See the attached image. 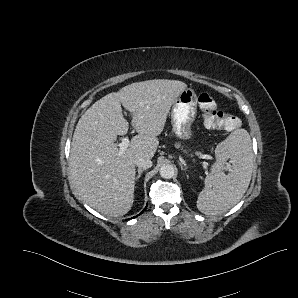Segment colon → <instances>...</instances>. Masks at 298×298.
<instances>
[{"instance_id": "obj_1", "label": "colon", "mask_w": 298, "mask_h": 298, "mask_svg": "<svg viewBox=\"0 0 298 298\" xmlns=\"http://www.w3.org/2000/svg\"><path fill=\"white\" fill-rule=\"evenodd\" d=\"M197 102L207 128L231 131L239 126V119L235 115L217 109L216 102L210 94L200 93Z\"/></svg>"}]
</instances>
